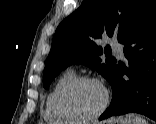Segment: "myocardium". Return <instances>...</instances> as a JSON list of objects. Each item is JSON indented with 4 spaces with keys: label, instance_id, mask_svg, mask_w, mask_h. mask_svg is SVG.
<instances>
[{
    "label": "myocardium",
    "instance_id": "f54148a6",
    "mask_svg": "<svg viewBox=\"0 0 156 124\" xmlns=\"http://www.w3.org/2000/svg\"><path fill=\"white\" fill-rule=\"evenodd\" d=\"M83 83H93L96 84L101 88L103 91V103L100 108L92 115L81 117L75 114L74 112L70 111L65 105V98L68 93L75 88L76 86L83 84ZM110 103V95L109 91L106 86L97 78L90 77V76H79L75 77L68 83H66L58 92L56 97V108L58 112L65 118L69 119L73 123H87L97 120L108 108Z\"/></svg>",
    "mask_w": 156,
    "mask_h": 124
}]
</instances>
